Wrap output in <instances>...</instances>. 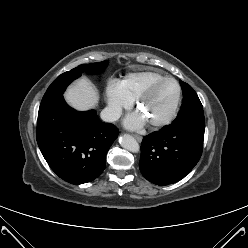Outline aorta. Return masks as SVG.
I'll return each mask as SVG.
<instances>
[{
  "label": "aorta",
  "instance_id": "obj_1",
  "mask_svg": "<svg viewBox=\"0 0 248 248\" xmlns=\"http://www.w3.org/2000/svg\"><path fill=\"white\" fill-rule=\"evenodd\" d=\"M119 143L123 148L131 152L137 153L140 150L139 144L136 139L129 134L122 135L119 138Z\"/></svg>",
  "mask_w": 248,
  "mask_h": 248
}]
</instances>
